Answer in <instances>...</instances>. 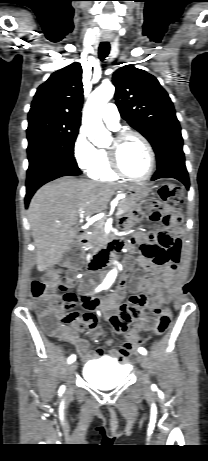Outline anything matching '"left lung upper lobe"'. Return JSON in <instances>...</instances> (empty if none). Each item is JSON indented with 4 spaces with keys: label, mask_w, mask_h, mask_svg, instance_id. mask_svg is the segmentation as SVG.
<instances>
[{
    "label": "left lung upper lobe",
    "mask_w": 208,
    "mask_h": 461,
    "mask_svg": "<svg viewBox=\"0 0 208 461\" xmlns=\"http://www.w3.org/2000/svg\"><path fill=\"white\" fill-rule=\"evenodd\" d=\"M121 116L152 145L159 166L183 153V138L173 103L159 81L144 70L127 65L112 77Z\"/></svg>",
    "instance_id": "obj_1"
}]
</instances>
